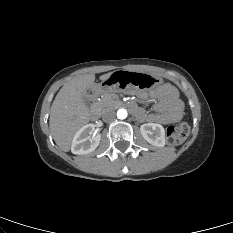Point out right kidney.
I'll return each instance as SVG.
<instances>
[{"mask_svg":"<svg viewBox=\"0 0 233 233\" xmlns=\"http://www.w3.org/2000/svg\"><path fill=\"white\" fill-rule=\"evenodd\" d=\"M93 130L94 125L87 124L77 131L71 145V152L73 154H88L98 147L101 136L96 135L91 137L90 134Z\"/></svg>","mask_w":233,"mask_h":233,"instance_id":"ca27d5eb","label":"right kidney"}]
</instances>
